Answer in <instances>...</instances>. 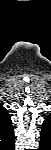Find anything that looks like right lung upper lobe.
I'll list each match as a JSON object with an SVG mask.
<instances>
[{"instance_id":"1","label":"right lung upper lobe","mask_w":51,"mask_h":150,"mask_svg":"<svg viewBox=\"0 0 51 150\" xmlns=\"http://www.w3.org/2000/svg\"><path fill=\"white\" fill-rule=\"evenodd\" d=\"M14 142L12 121L7 110L0 106V150H10Z\"/></svg>"}]
</instances>
